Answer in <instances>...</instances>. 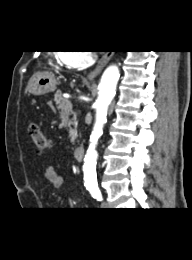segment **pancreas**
<instances>
[{
	"label": "pancreas",
	"instance_id": "cf45deb5",
	"mask_svg": "<svg viewBox=\"0 0 192 260\" xmlns=\"http://www.w3.org/2000/svg\"><path fill=\"white\" fill-rule=\"evenodd\" d=\"M54 101L56 103V107L59 110V114H60V118L65 115H71L73 114V118L70 120L69 125L70 124H76V113L72 111V109H67L66 108V103L68 101V99H65L62 96V93L60 91H57L54 95ZM70 133V137H71V142L74 143L76 137H77V132L76 129H70L69 131Z\"/></svg>",
	"mask_w": 192,
	"mask_h": 260
}]
</instances>
